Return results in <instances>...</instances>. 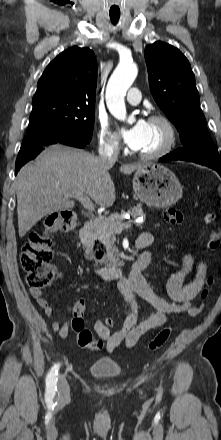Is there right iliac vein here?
<instances>
[{
  "mask_svg": "<svg viewBox=\"0 0 221 440\" xmlns=\"http://www.w3.org/2000/svg\"><path fill=\"white\" fill-rule=\"evenodd\" d=\"M58 393L61 399H67L69 397V384L63 375L59 376Z\"/></svg>",
  "mask_w": 221,
  "mask_h": 440,
  "instance_id": "1",
  "label": "right iliac vein"
}]
</instances>
